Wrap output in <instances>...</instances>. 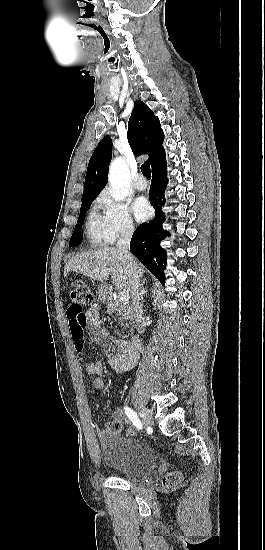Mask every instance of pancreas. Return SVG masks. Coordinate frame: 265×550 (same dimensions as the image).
I'll return each mask as SVG.
<instances>
[{
	"label": "pancreas",
	"instance_id": "pancreas-1",
	"mask_svg": "<svg viewBox=\"0 0 265 550\" xmlns=\"http://www.w3.org/2000/svg\"><path fill=\"white\" fill-rule=\"evenodd\" d=\"M107 313L118 317L123 325L128 326L134 320L133 306L129 302H122L119 297L114 298L108 306Z\"/></svg>",
	"mask_w": 265,
	"mask_h": 550
}]
</instances>
